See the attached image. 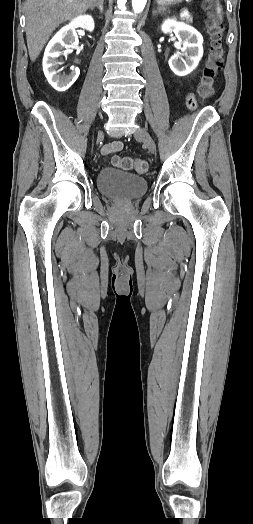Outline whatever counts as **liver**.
<instances>
[{
    "label": "liver",
    "mask_w": 253,
    "mask_h": 524,
    "mask_svg": "<svg viewBox=\"0 0 253 524\" xmlns=\"http://www.w3.org/2000/svg\"><path fill=\"white\" fill-rule=\"evenodd\" d=\"M98 0H27L26 39L35 61L53 31L63 22L82 14Z\"/></svg>",
    "instance_id": "obj_1"
}]
</instances>
